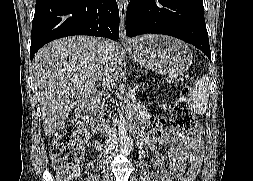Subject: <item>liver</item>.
I'll list each match as a JSON object with an SVG mask.
<instances>
[{"label":"liver","instance_id":"1","mask_svg":"<svg viewBox=\"0 0 253 181\" xmlns=\"http://www.w3.org/2000/svg\"><path fill=\"white\" fill-rule=\"evenodd\" d=\"M114 70L119 45L87 36L55 40L42 47L32 62L33 88L41 105L45 135L51 137L75 106L105 77V44Z\"/></svg>","mask_w":253,"mask_h":181}]
</instances>
